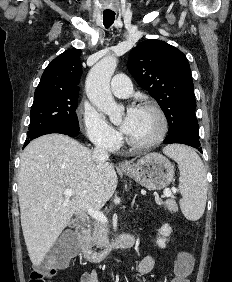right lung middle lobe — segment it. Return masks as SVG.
Masks as SVG:
<instances>
[{"mask_svg":"<svg viewBox=\"0 0 232 282\" xmlns=\"http://www.w3.org/2000/svg\"><path fill=\"white\" fill-rule=\"evenodd\" d=\"M77 99L78 93H35L27 136L31 137L55 126H66L79 131Z\"/></svg>","mask_w":232,"mask_h":282,"instance_id":"obj_1","label":"right lung middle lobe"}]
</instances>
